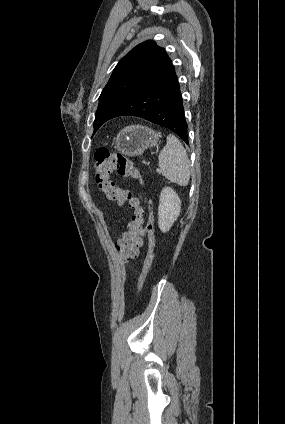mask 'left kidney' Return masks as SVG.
<instances>
[{
    "mask_svg": "<svg viewBox=\"0 0 285 424\" xmlns=\"http://www.w3.org/2000/svg\"><path fill=\"white\" fill-rule=\"evenodd\" d=\"M181 212V200L171 187L162 189L158 207V225L163 233L170 230Z\"/></svg>",
    "mask_w": 285,
    "mask_h": 424,
    "instance_id": "left-kidney-1",
    "label": "left kidney"
}]
</instances>
